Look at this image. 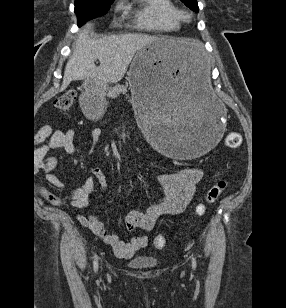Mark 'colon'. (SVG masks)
I'll return each instance as SVG.
<instances>
[{
	"instance_id": "5ec220e1",
	"label": "colon",
	"mask_w": 286,
	"mask_h": 308,
	"mask_svg": "<svg viewBox=\"0 0 286 308\" xmlns=\"http://www.w3.org/2000/svg\"><path fill=\"white\" fill-rule=\"evenodd\" d=\"M76 100V92L74 90H68L54 100V106L62 112H69L73 109ZM243 139L238 132H230L225 139V143L229 148L237 149L242 145ZM228 185L226 179H219L215 184H213L207 191L205 196V202L200 203L196 206V214L203 215L206 210V203H212L216 201L219 196L223 193ZM166 244L164 236L157 235L153 239V245L155 248H163Z\"/></svg>"
}]
</instances>
